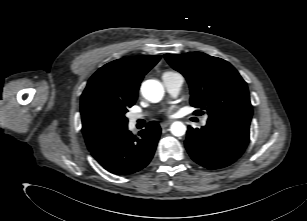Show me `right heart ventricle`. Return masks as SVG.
<instances>
[{"label":"right heart ventricle","instance_id":"right-heart-ventricle-1","mask_svg":"<svg viewBox=\"0 0 307 221\" xmlns=\"http://www.w3.org/2000/svg\"><path fill=\"white\" fill-rule=\"evenodd\" d=\"M174 73H176V72H173V71H167V72H165L164 74H174Z\"/></svg>","mask_w":307,"mask_h":221}]
</instances>
